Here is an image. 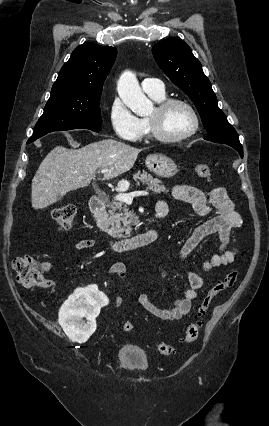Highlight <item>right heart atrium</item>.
<instances>
[{"label": "right heart atrium", "instance_id": "d8ad5b80", "mask_svg": "<svg viewBox=\"0 0 269 426\" xmlns=\"http://www.w3.org/2000/svg\"><path fill=\"white\" fill-rule=\"evenodd\" d=\"M109 122L116 136L127 141H136L143 135L141 120L132 113L118 96L109 104Z\"/></svg>", "mask_w": 269, "mask_h": 426}]
</instances>
